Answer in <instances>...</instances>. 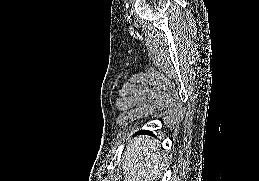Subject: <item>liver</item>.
Returning <instances> with one entry per match:
<instances>
[{
	"instance_id": "6515ba94",
	"label": "liver",
	"mask_w": 259,
	"mask_h": 181,
	"mask_svg": "<svg viewBox=\"0 0 259 181\" xmlns=\"http://www.w3.org/2000/svg\"><path fill=\"white\" fill-rule=\"evenodd\" d=\"M156 140L149 136L130 141L122 156L124 181H155L165 156L159 152Z\"/></svg>"
}]
</instances>
